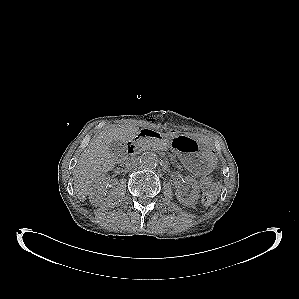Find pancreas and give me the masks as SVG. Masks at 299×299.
Instances as JSON below:
<instances>
[{
  "label": "pancreas",
  "instance_id": "obj_1",
  "mask_svg": "<svg viewBox=\"0 0 299 299\" xmlns=\"http://www.w3.org/2000/svg\"><path fill=\"white\" fill-rule=\"evenodd\" d=\"M139 144L142 147V149H146V150H158V149L166 148L165 145L157 141H151L147 139H141Z\"/></svg>",
  "mask_w": 299,
  "mask_h": 299
}]
</instances>
